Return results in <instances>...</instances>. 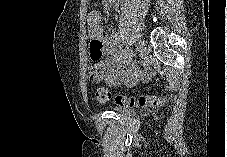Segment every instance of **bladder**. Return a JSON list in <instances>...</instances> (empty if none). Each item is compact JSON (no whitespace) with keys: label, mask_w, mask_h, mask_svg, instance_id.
Returning a JSON list of instances; mask_svg holds the SVG:
<instances>
[{"label":"bladder","mask_w":227,"mask_h":157,"mask_svg":"<svg viewBox=\"0 0 227 157\" xmlns=\"http://www.w3.org/2000/svg\"><path fill=\"white\" fill-rule=\"evenodd\" d=\"M119 115L122 116H133L135 115L136 111L132 108H127V107H119L116 108L115 110Z\"/></svg>","instance_id":"bladder-1"}]
</instances>
